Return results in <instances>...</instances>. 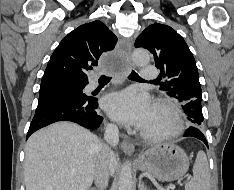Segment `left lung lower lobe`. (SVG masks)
Listing matches in <instances>:
<instances>
[{
	"mask_svg": "<svg viewBox=\"0 0 234 190\" xmlns=\"http://www.w3.org/2000/svg\"><path fill=\"white\" fill-rule=\"evenodd\" d=\"M185 137H194V138H197L201 141H203L206 146H208V143H207V140L204 136V134L202 133V129L196 127V126H193L191 125L185 132L184 134Z\"/></svg>",
	"mask_w": 234,
	"mask_h": 190,
	"instance_id": "1",
	"label": "left lung lower lobe"
}]
</instances>
